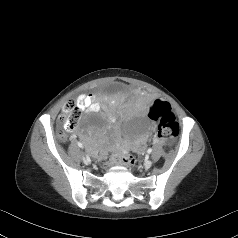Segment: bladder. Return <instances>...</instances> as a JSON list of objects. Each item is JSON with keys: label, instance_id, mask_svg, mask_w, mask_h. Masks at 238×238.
<instances>
[{"label": "bladder", "instance_id": "1", "mask_svg": "<svg viewBox=\"0 0 238 238\" xmlns=\"http://www.w3.org/2000/svg\"><path fill=\"white\" fill-rule=\"evenodd\" d=\"M109 90H110L111 93L116 94V93L119 92L120 87H119L118 84L113 83V84L110 85Z\"/></svg>", "mask_w": 238, "mask_h": 238}]
</instances>
